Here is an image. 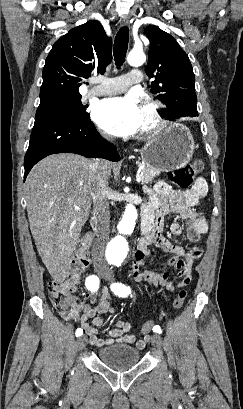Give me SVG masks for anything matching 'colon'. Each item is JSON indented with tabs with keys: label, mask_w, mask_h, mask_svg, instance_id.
I'll use <instances>...</instances> for the list:
<instances>
[{
	"label": "colon",
	"mask_w": 243,
	"mask_h": 409,
	"mask_svg": "<svg viewBox=\"0 0 243 409\" xmlns=\"http://www.w3.org/2000/svg\"><path fill=\"white\" fill-rule=\"evenodd\" d=\"M201 169L202 163L195 161L170 172L169 177L178 187L189 188L193 185L195 177ZM92 240L91 234H84L80 238L71 258L67 278L63 281L54 280L49 283L50 300L58 313L66 319H71L75 316L72 294L77 289L80 274L89 265ZM185 298L186 291L182 289L174 299V307L176 309L182 308ZM154 325V321H147L142 327V335H148Z\"/></svg>",
	"instance_id": "obj_1"
}]
</instances>
